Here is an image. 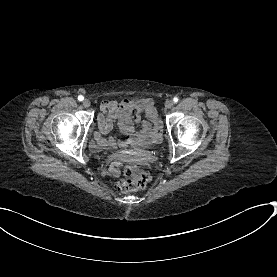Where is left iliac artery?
<instances>
[{"label":"left iliac artery","instance_id":"44dca946","mask_svg":"<svg viewBox=\"0 0 277 277\" xmlns=\"http://www.w3.org/2000/svg\"><path fill=\"white\" fill-rule=\"evenodd\" d=\"M178 98L177 97H175L174 99H173V101L175 102V103H177L178 102Z\"/></svg>","mask_w":277,"mask_h":277}]
</instances>
